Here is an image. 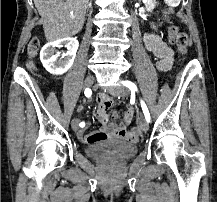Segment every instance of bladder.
I'll list each match as a JSON object with an SVG mask.
<instances>
[{
  "instance_id": "obj_1",
  "label": "bladder",
  "mask_w": 217,
  "mask_h": 202,
  "mask_svg": "<svg viewBox=\"0 0 217 202\" xmlns=\"http://www.w3.org/2000/svg\"><path fill=\"white\" fill-rule=\"evenodd\" d=\"M138 145L125 140H108L86 146L88 157L91 158H126L135 156Z\"/></svg>"
}]
</instances>
